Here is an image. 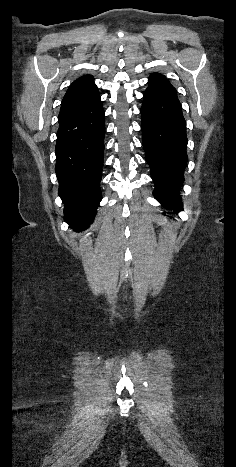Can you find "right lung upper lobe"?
I'll return each mask as SVG.
<instances>
[{"mask_svg": "<svg viewBox=\"0 0 236 467\" xmlns=\"http://www.w3.org/2000/svg\"><path fill=\"white\" fill-rule=\"evenodd\" d=\"M93 80L92 75H84L70 85L63 98L58 119L84 109L100 97Z\"/></svg>", "mask_w": 236, "mask_h": 467, "instance_id": "obj_1", "label": "right lung upper lobe"}]
</instances>
